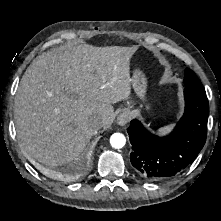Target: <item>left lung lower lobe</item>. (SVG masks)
Returning <instances> with one entry per match:
<instances>
[{"label": "left lung lower lobe", "mask_w": 221, "mask_h": 221, "mask_svg": "<svg viewBox=\"0 0 221 221\" xmlns=\"http://www.w3.org/2000/svg\"><path fill=\"white\" fill-rule=\"evenodd\" d=\"M185 112L166 137L151 134L138 120L127 129L134 170L149 181L170 179L193 162L207 136L209 103L206 93L184 89Z\"/></svg>", "instance_id": "obj_1"}]
</instances>
